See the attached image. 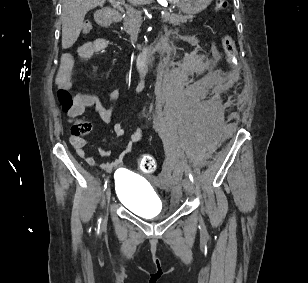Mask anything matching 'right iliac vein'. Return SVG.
I'll return each mask as SVG.
<instances>
[{
	"mask_svg": "<svg viewBox=\"0 0 308 283\" xmlns=\"http://www.w3.org/2000/svg\"><path fill=\"white\" fill-rule=\"evenodd\" d=\"M110 196H111V189L110 186H108L105 191V198L107 199L108 202L110 200Z\"/></svg>",
	"mask_w": 308,
	"mask_h": 283,
	"instance_id": "right-iliac-vein-1",
	"label": "right iliac vein"
}]
</instances>
